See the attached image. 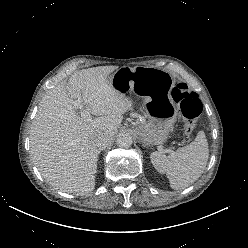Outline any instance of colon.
Listing matches in <instances>:
<instances>
[{"label": "colon", "instance_id": "5ec220e1", "mask_svg": "<svg viewBox=\"0 0 248 248\" xmlns=\"http://www.w3.org/2000/svg\"><path fill=\"white\" fill-rule=\"evenodd\" d=\"M172 97L180 104L181 112L186 120L185 139L189 140L201 113L202 104L197 95L182 82L174 87Z\"/></svg>", "mask_w": 248, "mask_h": 248}]
</instances>
